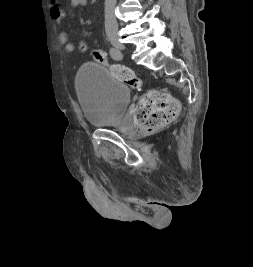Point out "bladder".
Wrapping results in <instances>:
<instances>
[{
  "label": "bladder",
  "instance_id": "1",
  "mask_svg": "<svg viewBox=\"0 0 253 267\" xmlns=\"http://www.w3.org/2000/svg\"><path fill=\"white\" fill-rule=\"evenodd\" d=\"M76 90L86 122L95 127L115 123L131 101L130 88L96 63L80 68Z\"/></svg>",
  "mask_w": 253,
  "mask_h": 267
}]
</instances>
